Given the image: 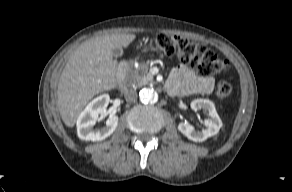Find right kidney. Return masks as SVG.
Returning <instances> with one entry per match:
<instances>
[{
    "mask_svg": "<svg viewBox=\"0 0 292 192\" xmlns=\"http://www.w3.org/2000/svg\"><path fill=\"white\" fill-rule=\"evenodd\" d=\"M110 97L108 94H102L93 99L81 112L77 120L78 137L86 141H101L109 137L116 129L118 117L110 116L106 121V126L101 129L93 130L98 116L108 106Z\"/></svg>",
    "mask_w": 292,
    "mask_h": 192,
    "instance_id": "1",
    "label": "right kidney"
}]
</instances>
